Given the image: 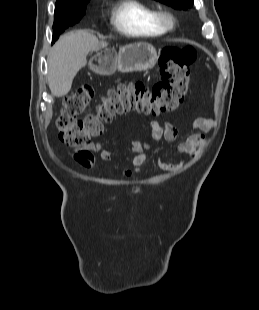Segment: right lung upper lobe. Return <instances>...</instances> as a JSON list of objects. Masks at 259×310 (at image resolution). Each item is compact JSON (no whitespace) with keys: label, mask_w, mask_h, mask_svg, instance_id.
Masks as SVG:
<instances>
[{"label":"right lung upper lobe","mask_w":259,"mask_h":310,"mask_svg":"<svg viewBox=\"0 0 259 310\" xmlns=\"http://www.w3.org/2000/svg\"><path fill=\"white\" fill-rule=\"evenodd\" d=\"M82 1L86 0H57L55 8L72 7L80 4Z\"/></svg>","instance_id":"obj_1"}]
</instances>
